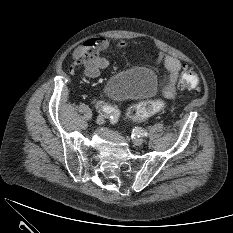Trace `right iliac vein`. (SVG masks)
Returning <instances> with one entry per match:
<instances>
[{
  "instance_id": "obj_1",
  "label": "right iliac vein",
  "mask_w": 233,
  "mask_h": 233,
  "mask_svg": "<svg viewBox=\"0 0 233 233\" xmlns=\"http://www.w3.org/2000/svg\"><path fill=\"white\" fill-rule=\"evenodd\" d=\"M104 122H105V115H103V114L98 115V116H97V119H96V123H97L98 125H101V124H103Z\"/></svg>"
}]
</instances>
